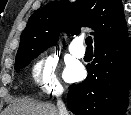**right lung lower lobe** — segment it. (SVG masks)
<instances>
[{
  "label": "right lung lower lobe",
  "mask_w": 131,
  "mask_h": 115,
  "mask_svg": "<svg viewBox=\"0 0 131 115\" xmlns=\"http://www.w3.org/2000/svg\"><path fill=\"white\" fill-rule=\"evenodd\" d=\"M94 56L87 78L70 86L68 109L75 115H123L131 86L130 38L99 45Z\"/></svg>",
  "instance_id": "right-lung-lower-lobe-1"
}]
</instances>
